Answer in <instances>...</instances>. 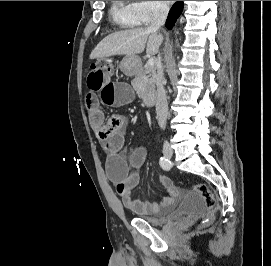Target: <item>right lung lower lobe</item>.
Listing matches in <instances>:
<instances>
[{
  "mask_svg": "<svg viewBox=\"0 0 271 266\" xmlns=\"http://www.w3.org/2000/svg\"><path fill=\"white\" fill-rule=\"evenodd\" d=\"M183 9V2H176L172 8L170 9V12L168 14V18L166 20V27L168 29H171L174 23L176 22L177 18L180 16Z\"/></svg>",
  "mask_w": 271,
  "mask_h": 266,
  "instance_id": "right-lung-lower-lobe-1",
  "label": "right lung lower lobe"
}]
</instances>
